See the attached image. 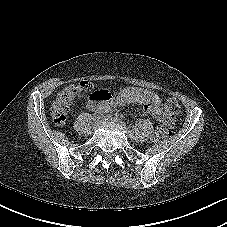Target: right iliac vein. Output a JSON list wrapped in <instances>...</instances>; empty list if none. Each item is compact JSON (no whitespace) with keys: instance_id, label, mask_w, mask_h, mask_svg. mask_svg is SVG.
Segmentation results:
<instances>
[{"instance_id":"1","label":"right iliac vein","mask_w":227,"mask_h":227,"mask_svg":"<svg viewBox=\"0 0 227 227\" xmlns=\"http://www.w3.org/2000/svg\"><path fill=\"white\" fill-rule=\"evenodd\" d=\"M99 123H100L99 120L95 121V122L93 123V128H94V129L97 128L98 125H99Z\"/></svg>"}]
</instances>
